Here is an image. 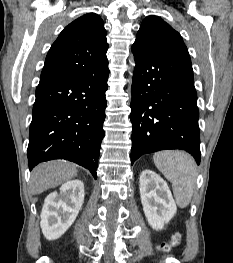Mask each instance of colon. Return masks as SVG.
Segmentation results:
<instances>
[{
	"label": "colon",
	"instance_id": "5ec220e1",
	"mask_svg": "<svg viewBox=\"0 0 233 263\" xmlns=\"http://www.w3.org/2000/svg\"><path fill=\"white\" fill-rule=\"evenodd\" d=\"M181 242V235L179 233H175L171 239L167 242H162L157 246V251L159 253H166L170 251L172 248L177 247Z\"/></svg>",
	"mask_w": 233,
	"mask_h": 263
}]
</instances>
